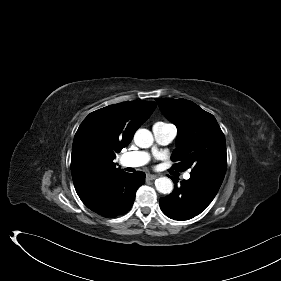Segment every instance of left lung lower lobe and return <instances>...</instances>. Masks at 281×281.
Segmentation results:
<instances>
[{"mask_svg":"<svg viewBox=\"0 0 281 281\" xmlns=\"http://www.w3.org/2000/svg\"><path fill=\"white\" fill-rule=\"evenodd\" d=\"M174 183L175 180L173 179ZM223 179L190 174L188 181L159 201L162 212L175 220H188L200 214L214 199Z\"/></svg>","mask_w":281,"mask_h":281,"instance_id":"left-lung-lower-lobe-1","label":"left lung lower lobe"}]
</instances>
